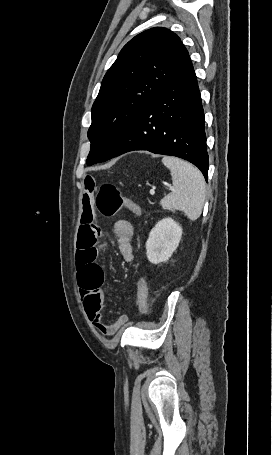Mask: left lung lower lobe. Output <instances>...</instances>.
<instances>
[{
    "label": "left lung lower lobe",
    "instance_id": "1",
    "mask_svg": "<svg viewBox=\"0 0 272 455\" xmlns=\"http://www.w3.org/2000/svg\"><path fill=\"white\" fill-rule=\"evenodd\" d=\"M134 150L185 159L207 180L204 112L192 63L145 106L105 161Z\"/></svg>",
    "mask_w": 272,
    "mask_h": 455
}]
</instances>
